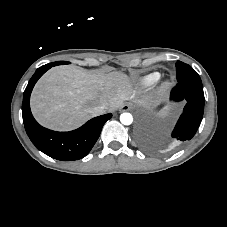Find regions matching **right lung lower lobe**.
I'll list each match as a JSON object with an SVG mask.
<instances>
[{
    "mask_svg": "<svg viewBox=\"0 0 227 227\" xmlns=\"http://www.w3.org/2000/svg\"><path fill=\"white\" fill-rule=\"evenodd\" d=\"M51 67L53 66L49 63L38 68L30 79L23 96V123L30 140L40 151L57 160H78L90 152L99 138L103 125L112 114L95 117L70 132H56L39 125L30 110V94L37 80Z\"/></svg>",
    "mask_w": 227,
    "mask_h": 227,
    "instance_id": "right-lung-lower-lobe-1",
    "label": "right lung lower lobe"
}]
</instances>
